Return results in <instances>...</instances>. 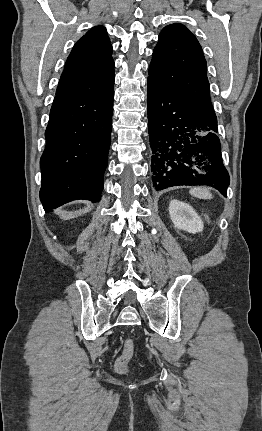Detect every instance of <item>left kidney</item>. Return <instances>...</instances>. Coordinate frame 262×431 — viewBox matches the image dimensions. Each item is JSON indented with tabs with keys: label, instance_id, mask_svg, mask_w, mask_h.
Instances as JSON below:
<instances>
[{
	"label": "left kidney",
	"instance_id": "obj_1",
	"mask_svg": "<svg viewBox=\"0 0 262 431\" xmlns=\"http://www.w3.org/2000/svg\"><path fill=\"white\" fill-rule=\"evenodd\" d=\"M170 218L174 227L189 233H198L203 230V222L195 210L188 204L178 200H171L169 204Z\"/></svg>",
	"mask_w": 262,
	"mask_h": 431
}]
</instances>
